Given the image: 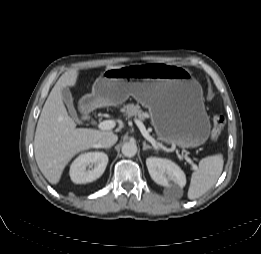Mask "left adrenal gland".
<instances>
[{"label": "left adrenal gland", "mask_w": 261, "mask_h": 254, "mask_svg": "<svg viewBox=\"0 0 261 254\" xmlns=\"http://www.w3.org/2000/svg\"><path fill=\"white\" fill-rule=\"evenodd\" d=\"M147 149H154L153 147H151L150 145H148L145 141L143 142V151L147 150Z\"/></svg>", "instance_id": "obj_1"}]
</instances>
